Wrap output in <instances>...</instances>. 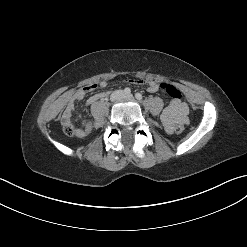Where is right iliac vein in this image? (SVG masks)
I'll list each match as a JSON object with an SVG mask.
<instances>
[{"label":"right iliac vein","mask_w":247,"mask_h":247,"mask_svg":"<svg viewBox=\"0 0 247 247\" xmlns=\"http://www.w3.org/2000/svg\"><path fill=\"white\" fill-rule=\"evenodd\" d=\"M122 97H123L122 91H116V92H114V93L111 95V100H112V101H116V100H118V99H120V98H122Z\"/></svg>","instance_id":"obj_1"}]
</instances>
